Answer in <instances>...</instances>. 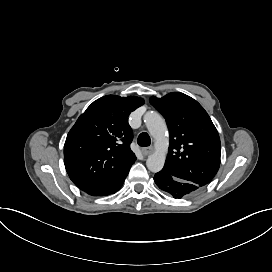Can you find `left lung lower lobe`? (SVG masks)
<instances>
[{"instance_id":"0a47b994","label":"left lung lower lobe","mask_w":272,"mask_h":272,"mask_svg":"<svg viewBox=\"0 0 272 272\" xmlns=\"http://www.w3.org/2000/svg\"><path fill=\"white\" fill-rule=\"evenodd\" d=\"M154 181L161 190L177 199L193 194L201 188L194 183L177 179L163 170L155 174Z\"/></svg>"}]
</instances>
